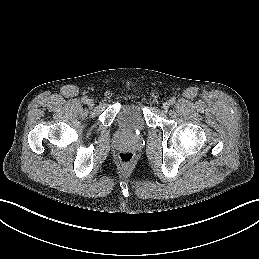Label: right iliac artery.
<instances>
[{
    "mask_svg": "<svg viewBox=\"0 0 259 259\" xmlns=\"http://www.w3.org/2000/svg\"><path fill=\"white\" fill-rule=\"evenodd\" d=\"M88 97L87 96H84L83 98H82V101L84 102V103H87L88 102Z\"/></svg>",
    "mask_w": 259,
    "mask_h": 259,
    "instance_id": "82829eb1",
    "label": "right iliac artery"
}]
</instances>
